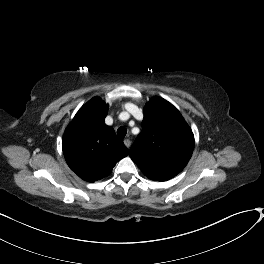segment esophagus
Returning <instances> with one entry per match:
<instances>
[{
	"label": "esophagus",
	"mask_w": 264,
	"mask_h": 264,
	"mask_svg": "<svg viewBox=\"0 0 264 264\" xmlns=\"http://www.w3.org/2000/svg\"><path fill=\"white\" fill-rule=\"evenodd\" d=\"M124 144L127 146V147H130L131 145V141L129 139H125L124 140Z\"/></svg>",
	"instance_id": "esophagus-1"
}]
</instances>
